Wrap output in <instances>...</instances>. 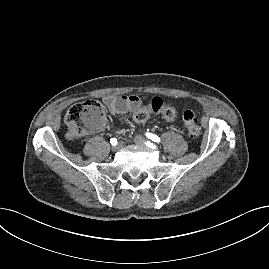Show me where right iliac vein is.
<instances>
[{"label":"right iliac vein","mask_w":269,"mask_h":269,"mask_svg":"<svg viewBox=\"0 0 269 269\" xmlns=\"http://www.w3.org/2000/svg\"><path fill=\"white\" fill-rule=\"evenodd\" d=\"M124 145V142H118L116 145L112 147L113 151H117L118 149H121Z\"/></svg>","instance_id":"right-iliac-vein-1"}]
</instances>
